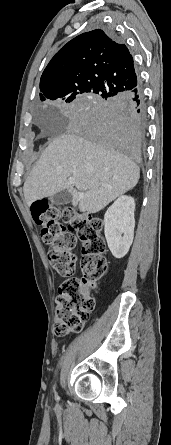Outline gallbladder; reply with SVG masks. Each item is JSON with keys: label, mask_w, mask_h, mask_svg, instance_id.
Masks as SVG:
<instances>
[{"label": "gallbladder", "mask_w": 171, "mask_h": 445, "mask_svg": "<svg viewBox=\"0 0 171 445\" xmlns=\"http://www.w3.org/2000/svg\"><path fill=\"white\" fill-rule=\"evenodd\" d=\"M72 199L69 192L63 190L60 191L49 198L52 205H64L68 204Z\"/></svg>", "instance_id": "obj_1"}]
</instances>
